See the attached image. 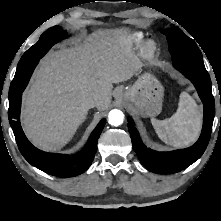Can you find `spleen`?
<instances>
[{"instance_id":"obj_1","label":"spleen","mask_w":221,"mask_h":221,"mask_svg":"<svg viewBox=\"0 0 221 221\" xmlns=\"http://www.w3.org/2000/svg\"><path fill=\"white\" fill-rule=\"evenodd\" d=\"M158 137L166 144L182 148L195 142L202 127V114L195 100L182 92L177 111L168 119H151Z\"/></svg>"}]
</instances>
